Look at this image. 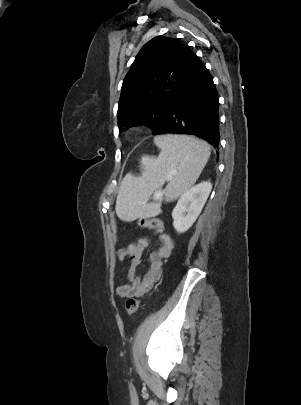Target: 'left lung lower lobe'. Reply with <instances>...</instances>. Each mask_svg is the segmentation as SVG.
<instances>
[{
	"instance_id": "0a47b994",
	"label": "left lung lower lobe",
	"mask_w": 301,
	"mask_h": 405,
	"mask_svg": "<svg viewBox=\"0 0 301 405\" xmlns=\"http://www.w3.org/2000/svg\"><path fill=\"white\" fill-rule=\"evenodd\" d=\"M219 99L213 78L195 54L188 74L155 135L182 134L219 147Z\"/></svg>"
}]
</instances>
